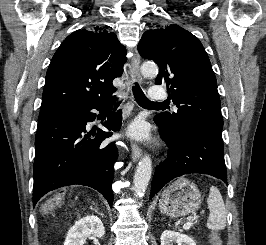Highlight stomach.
<instances>
[{
    "label": "stomach",
    "instance_id": "obj_1",
    "mask_svg": "<svg viewBox=\"0 0 266 245\" xmlns=\"http://www.w3.org/2000/svg\"><path fill=\"white\" fill-rule=\"evenodd\" d=\"M202 203L199 189L187 179L169 185L161 195L159 209L168 217H184L195 213Z\"/></svg>",
    "mask_w": 266,
    "mask_h": 245
}]
</instances>
